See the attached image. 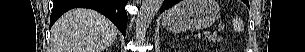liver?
<instances>
[{"label": "liver", "instance_id": "6515ba94", "mask_svg": "<svg viewBox=\"0 0 305 52\" xmlns=\"http://www.w3.org/2000/svg\"><path fill=\"white\" fill-rule=\"evenodd\" d=\"M117 33L115 25L100 13L72 9L53 25L50 52H102L115 41Z\"/></svg>", "mask_w": 305, "mask_h": 52}]
</instances>
